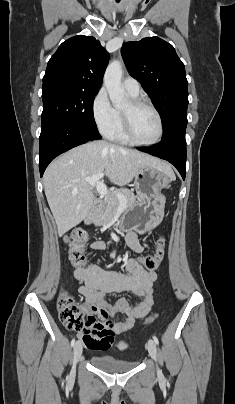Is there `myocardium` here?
I'll return each mask as SVG.
<instances>
[{"label": "myocardium", "mask_w": 235, "mask_h": 404, "mask_svg": "<svg viewBox=\"0 0 235 404\" xmlns=\"http://www.w3.org/2000/svg\"><path fill=\"white\" fill-rule=\"evenodd\" d=\"M142 107L150 109L156 115L157 120H158V135H157L156 139L151 142L138 141L134 137L133 132H132L131 112L133 110H136V109H139ZM121 118H122V128H123L124 135L130 143L137 145V146H153V145L158 144L161 141L163 134H164L163 119H162L160 112L151 103H149L145 100H142V99H132L130 101V110L129 111L122 110Z\"/></svg>", "instance_id": "f54148a6"}]
</instances>
